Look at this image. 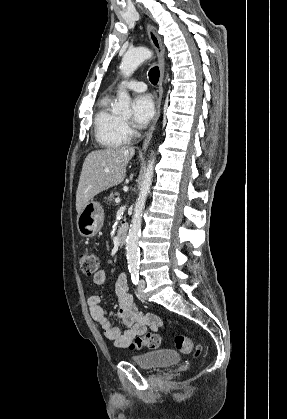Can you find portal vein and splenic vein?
I'll use <instances>...</instances> for the list:
<instances>
[{
    "instance_id": "1",
    "label": "portal vein and splenic vein",
    "mask_w": 287,
    "mask_h": 419,
    "mask_svg": "<svg viewBox=\"0 0 287 419\" xmlns=\"http://www.w3.org/2000/svg\"><path fill=\"white\" fill-rule=\"evenodd\" d=\"M115 202H116V203H120V198H116V199H115Z\"/></svg>"
}]
</instances>
